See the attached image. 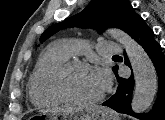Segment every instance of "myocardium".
Masks as SVG:
<instances>
[{
	"mask_svg": "<svg viewBox=\"0 0 165 120\" xmlns=\"http://www.w3.org/2000/svg\"><path fill=\"white\" fill-rule=\"evenodd\" d=\"M75 69H92L91 65L85 61L73 59L64 62L55 72L53 77V89L55 93L65 102L76 105H94L100 102L104 96V90L96 97L91 99H79L72 96L67 89V77Z\"/></svg>",
	"mask_w": 165,
	"mask_h": 120,
	"instance_id": "f54148a6",
	"label": "myocardium"
}]
</instances>
